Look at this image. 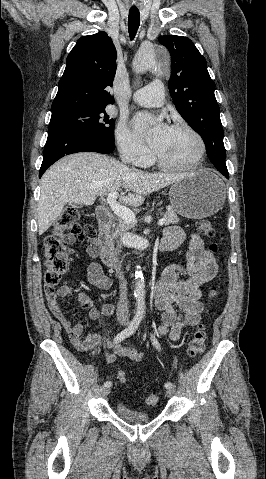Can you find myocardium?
Listing matches in <instances>:
<instances>
[{"label":"myocardium","mask_w":266,"mask_h":479,"mask_svg":"<svg viewBox=\"0 0 266 479\" xmlns=\"http://www.w3.org/2000/svg\"><path fill=\"white\" fill-rule=\"evenodd\" d=\"M171 129L188 132L196 141V154L190 161L182 163H168L156 156L155 161L157 165L164 170H192L197 168L203 161L206 152V146L202 136L187 124H174L171 126Z\"/></svg>","instance_id":"f54148a6"}]
</instances>
